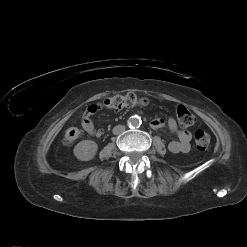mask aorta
<instances>
[{"instance_id": "762f6f07", "label": "aorta", "mask_w": 247, "mask_h": 247, "mask_svg": "<svg viewBox=\"0 0 247 247\" xmlns=\"http://www.w3.org/2000/svg\"><path fill=\"white\" fill-rule=\"evenodd\" d=\"M128 125L130 127H137L138 125L141 124V119L139 116L135 115V116H131L129 117L128 121H127Z\"/></svg>"}]
</instances>
